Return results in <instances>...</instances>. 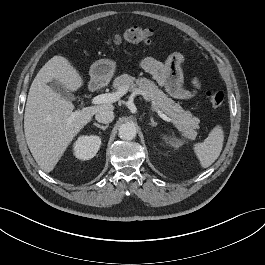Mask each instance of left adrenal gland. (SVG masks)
Instances as JSON below:
<instances>
[{
	"instance_id": "left-adrenal-gland-1",
	"label": "left adrenal gland",
	"mask_w": 265,
	"mask_h": 265,
	"mask_svg": "<svg viewBox=\"0 0 265 265\" xmlns=\"http://www.w3.org/2000/svg\"><path fill=\"white\" fill-rule=\"evenodd\" d=\"M150 121H151V123H150L151 126H156L157 125V122L154 121L152 116L150 117Z\"/></svg>"
}]
</instances>
